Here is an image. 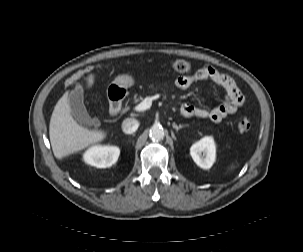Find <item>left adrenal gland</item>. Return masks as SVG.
Instances as JSON below:
<instances>
[{
    "mask_svg": "<svg viewBox=\"0 0 303 252\" xmlns=\"http://www.w3.org/2000/svg\"><path fill=\"white\" fill-rule=\"evenodd\" d=\"M173 128L178 132L179 129L188 126L187 124L177 126L175 123L172 124Z\"/></svg>",
    "mask_w": 303,
    "mask_h": 252,
    "instance_id": "1",
    "label": "left adrenal gland"
}]
</instances>
